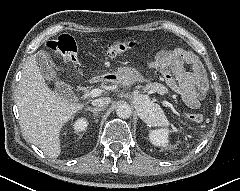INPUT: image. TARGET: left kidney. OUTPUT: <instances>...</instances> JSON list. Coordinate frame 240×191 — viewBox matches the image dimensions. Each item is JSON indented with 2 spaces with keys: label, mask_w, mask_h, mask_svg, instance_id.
Listing matches in <instances>:
<instances>
[{
  "label": "left kidney",
  "mask_w": 240,
  "mask_h": 191,
  "mask_svg": "<svg viewBox=\"0 0 240 191\" xmlns=\"http://www.w3.org/2000/svg\"><path fill=\"white\" fill-rule=\"evenodd\" d=\"M149 139L156 146H168V131L165 129L150 130Z\"/></svg>",
  "instance_id": "5707ae66"
}]
</instances>
